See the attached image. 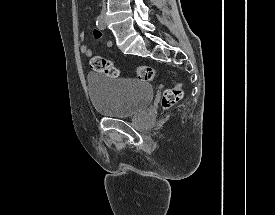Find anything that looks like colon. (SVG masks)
Listing matches in <instances>:
<instances>
[{"instance_id": "colon-1", "label": "colon", "mask_w": 275, "mask_h": 215, "mask_svg": "<svg viewBox=\"0 0 275 215\" xmlns=\"http://www.w3.org/2000/svg\"><path fill=\"white\" fill-rule=\"evenodd\" d=\"M90 67L92 70L108 77H115L118 70L113 64L102 56H94L90 59ZM136 76L139 80L152 82L157 78V71L151 66H139L136 68ZM183 96L182 85L176 83L170 88H167L162 95L161 105L164 109H169L178 103Z\"/></svg>"}]
</instances>
